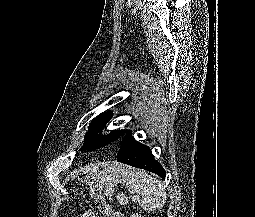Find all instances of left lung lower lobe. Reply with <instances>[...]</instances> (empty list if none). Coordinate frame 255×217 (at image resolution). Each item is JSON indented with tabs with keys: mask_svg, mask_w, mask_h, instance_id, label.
Returning a JSON list of instances; mask_svg holds the SVG:
<instances>
[{
	"mask_svg": "<svg viewBox=\"0 0 255 217\" xmlns=\"http://www.w3.org/2000/svg\"><path fill=\"white\" fill-rule=\"evenodd\" d=\"M117 161L141 168L159 175L165 179L166 172L154 156L149 147L135 140L131 131L124 135L117 153Z\"/></svg>",
	"mask_w": 255,
	"mask_h": 217,
	"instance_id": "0a47b994",
	"label": "left lung lower lobe"
}]
</instances>
